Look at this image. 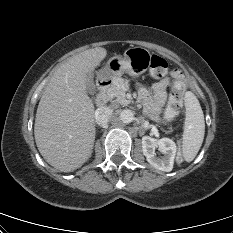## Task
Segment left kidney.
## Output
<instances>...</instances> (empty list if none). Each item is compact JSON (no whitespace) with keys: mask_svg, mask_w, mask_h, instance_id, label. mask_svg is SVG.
Listing matches in <instances>:
<instances>
[{"mask_svg":"<svg viewBox=\"0 0 233 233\" xmlns=\"http://www.w3.org/2000/svg\"><path fill=\"white\" fill-rule=\"evenodd\" d=\"M155 147H159L160 152L164 156L158 157L155 153ZM142 151L148 163L154 168L165 172H170L173 169L177 151L176 144L173 140L169 138L155 139L144 136L142 138Z\"/></svg>","mask_w":233,"mask_h":233,"instance_id":"5707ae66","label":"left kidney"}]
</instances>
